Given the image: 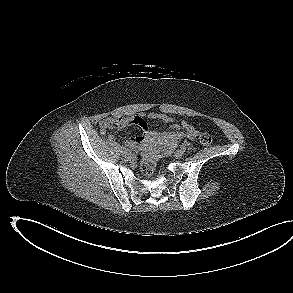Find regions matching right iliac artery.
Listing matches in <instances>:
<instances>
[{
    "mask_svg": "<svg viewBox=\"0 0 293 293\" xmlns=\"http://www.w3.org/2000/svg\"><path fill=\"white\" fill-rule=\"evenodd\" d=\"M118 148L122 151L123 149H125V147L123 145H118Z\"/></svg>",
    "mask_w": 293,
    "mask_h": 293,
    "instance_id": "obj_1",
    "label": "right iliac artery"
}]
</instances>
